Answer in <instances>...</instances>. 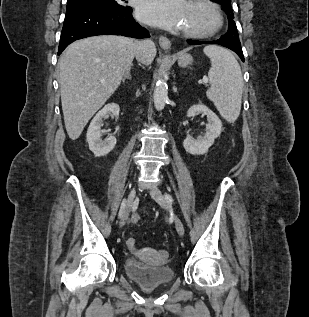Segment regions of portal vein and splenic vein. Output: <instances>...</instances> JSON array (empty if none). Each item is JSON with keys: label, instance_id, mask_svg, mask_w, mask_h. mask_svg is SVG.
I'll use <instances>...</instances> for the list:
<instances>
[{"label": "portal vein and splenic vein", "instance_id": "18ae733b", "mask_svg": "<svg viewBox=\"0 0 309 317\" xmlns=\"http://www.w3.org/2000/svg\"><path fill=\"white\" fill-rule=\"evenodd\" d=\"M203 81H204V83H207V82H208V80H207V79H204Z\"/></svg>", "mask_w": 309, "mask_h": 317}]
</instances>
